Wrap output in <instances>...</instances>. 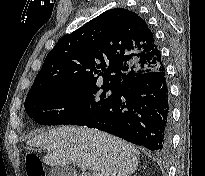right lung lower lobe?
Here are the masks:
<instances>
[{
  "instance_id": "1",
  "label": "right lung lower lobe",
  "mask_w": 205,
  "mask_h": 176,
  "mask_svg": "<svg viewBox=\"0 0 205 176\" xmlns=\"http://www.w3.org/2000/svg\"><path fill=\"white\" fill-rule=\"evenodd\" d=\"M169 91L164 64L121 84L87 127L166 153L171 146Z\"/></svg>"
}]
</instances>
